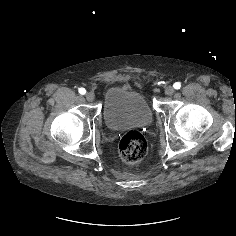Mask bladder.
Segmentation results:
<instances>
[{
  "label": "bladder",
  "instance_id": "bladder-1",
  "mask_svg": "<svg viewBox=\"0 0 236 236\" xmlns=\"http://www.w3.org/2000/svg\"><path fill=\"white\" fill-rule=\"evenodd\" d=\"M103 117L107 127L112 130L127 126H146L153 119V109L144 93L119 86L106 93Z\"/></svg>",
  "mask_w": 236,
  "mask_h": 236
}]
</instances>
